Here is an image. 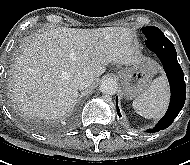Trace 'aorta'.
Here are the masks:
<instances>
[{
  "label": "aorta",
  "mask_w": 190,
  "mask_h": 165,
  "mask_svg": "<svg viewBox=\"0 0 190 165\" xmlns=\"http://www.w3.org/2000/svg\"><path fill=\"white\" fill-rule=\"evenodd\" d=\"M117 89V82L112 78L103 80L100 85V91L106 95H114L117 92Z\"/></svg>",
  "instance_id": "1"
}]
</instances>
